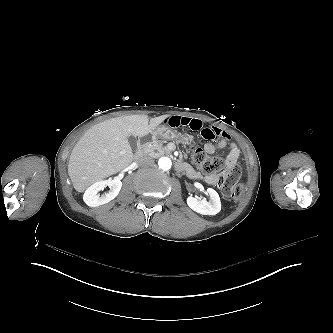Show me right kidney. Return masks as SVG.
Wrapping results in <instances>:
<instances>
[{
  "mask_svg": "<svg viewBox=\"0 0 333 333\" xmlns=\"http://www.w3.org/2000/svg\"><path fill=\"white\" fill-rule=\"evenodd\" d=\"M107 186L110 188V191L100 196L98 192ZM121 187L122 182L118 178H110L108 180L95 182L86 189L83 195V201L90 207H97L106 204L119 194Z\"/></svg>",
  "mask_w": 333,
  "mask_h": 333,
  "instance_id": "right-kidney-1",
  "label": "right kidney"
}]
</instances>
